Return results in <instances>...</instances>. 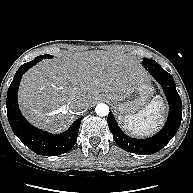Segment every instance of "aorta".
<instances>
[{
  "mask_svg": "<svg viewBox=\"0 0 193 193\" xmlns=\"http://www.w3.org/2000/svg\"><path fill=\"white\" fill-rule=\"evenodd\" d=\"M95 112L98 116H107L109 113V107L106 104L100 103L96 106Z\"/></svg>",
  "mask_w": 193,
  "mask_h": 193,
  "instance_id": "1",
  "label": "aorta"
}]
</instances>
